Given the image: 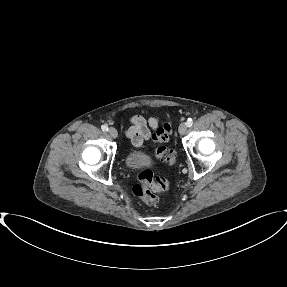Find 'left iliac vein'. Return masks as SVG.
Returning <instances> with one entry per match:
<instances>
[{
    "label": "left iliac vein",
    "mask_w": 287,
    "mask_h": 287,
    "mask_svg": "<svg viewBox=\"0 0 287 287\" xmlns=\"http://www.w3.org/2000/svg\"><path fill=\"white\" fill-rule=\"evenodd\" d=\"M187 132V125L186 123H181L179 126V133L180 135H184Z\"/></svg>",
    "instance_id": "obj_1"
}]
</instances>
